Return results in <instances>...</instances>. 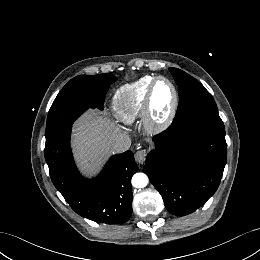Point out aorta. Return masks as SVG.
Returning <instances> with one entry per match:
<instances>
[{"instance_id": "aorta-1", "label": "aorta", "mask_w": 260, "mask_h": 260, "mask_svg": "<svg viewBox=\"0 0 260 260\" xmlns=\"http://www.w3.org/2000/svg\"><path fill=\"white\" fill-rule=\"evenodd\" d=\"M131 183L135 188H144L148 184V177L144 173H136L133 175Z\"/></svg>"}]
</instances>
